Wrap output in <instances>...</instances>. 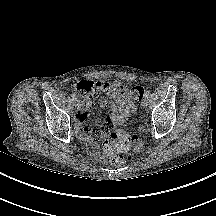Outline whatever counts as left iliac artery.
Masks as SVG:
<instances>
[{
    "instance_id": "44dca946",
    "label": "left iliac artery",
    "mask_w": 216,
    "mask_h": 216,
    "mask_svg": "<svg viewBox=\"0 0 216 216\" xmlns=\"http://www.w3.org/2000/svg\"><path fill=\"white\" fill-rule=\"evenodd\" d=\"M149 96H150V95H149V92H147V93H146V95H145V97H147V98H148Z\"/></svg>"
}]
</instances>
